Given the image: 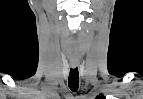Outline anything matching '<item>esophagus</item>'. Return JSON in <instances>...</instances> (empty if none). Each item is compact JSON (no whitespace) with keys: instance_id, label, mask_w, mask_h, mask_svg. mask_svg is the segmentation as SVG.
Instances as JSON below:
<instances>
[{"instance_id":"34e87169","label":"esophagus","mask_w":143,"mask_h":99,"mask_svg":"<svg viewBox=\"0 0 143 99\" xmlns=\"http://www.w3.org/2000/svg\"><path fill=\"white\" fill-rule=\"evenodd\" d=\"M71 66H72L73 68H76V67L78 66V63H77L76 61H72V62H71Z\"/></svg>"}]
</instances>
